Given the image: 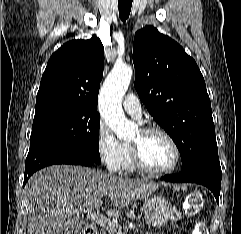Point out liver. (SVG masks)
<instances>
[{"label": "liver", "instance_id": "liver-1", "mask_svg": "<svg viewBox=\"0 0 241 234\" xmlns=\"http://www.w3.org/2000/svg\"><path fill=\"white\" fill-rule=\"evenodd\" d=\"M158 184L131 179L82 166L54 165L34 173L25 188L27 234H79V214L92 212L108 196L109 217L138 199L147 198Z\"/></svg>", "mask_w": 241, "mask_h": 234}]
</instances>
